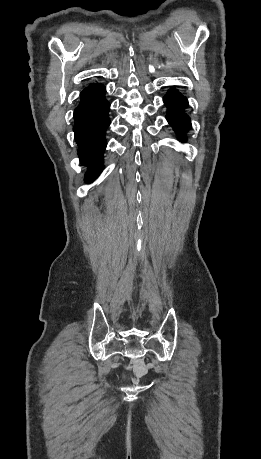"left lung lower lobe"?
<instances>
[{
  "label": "left lung lower lobe",
  "instance_id": "left-lung-lower-lobe-1",
  "mask_svg": "<svg viewBox=\"0 0 261 459\" xmlns=\"http://www.w3.org/2000/svg\"><path fill=\"white\" fill-rule=\"evenodd\" d=\"M164 103L168 108L167 120L176 132L182 134L190 129L191 123L189 117L183 113L188 105L187 99L178 91L172 89L164 97ZM186 138L181 137L184 141Z\"/></svg>",
  "mask_w": 261,
  "mask_h": 459
}]
</instances>
